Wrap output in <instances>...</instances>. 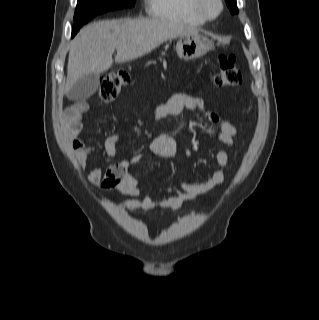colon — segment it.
Wrapping results in <instances>:
<instances>
[{
	"label": "colon",
	"instance_id": "1",
	"mask_svg": "<svg viewBox=\"0 0 319 320\" xmlns=\"http://www.w3.org/2000/svg\"><path fill=\"white\" fill-rule=\"evenodd\" d=\"M219 71L214 76V83L218 87H233L240 84L242 77L235 64L232 55L220 54L218 57ZM130 74L125 69L114 70L102 77L99 90V98L102 102L114 101L122 89L129 83ZM122 170L121 163H115L111 166L109 177L113 171Z\"/></svg>",
	"mask_w": 319,
	"mask_h": 320
}]
</instances>
